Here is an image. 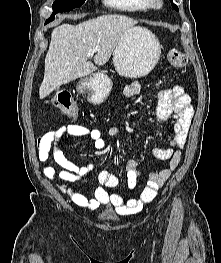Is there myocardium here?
I'll list each match as a JSON object with an SVG mask.
<instances>
[{
    "label": "myocardium",
    "mask_w": 221,
    "mask_h": 263,
    "mask_svg": "<svg viewBox=\"0 0 221 263\" xmlns=\"http://www.w3.org/2000/svg\"><path fill=\"white\" fill-rule=\"evenodd\" d=\"M147 3L148 6L154 10H160L164 5L163 0H147Z\"/></svg>",
    "instance_id": "obj_1"
}]
</instances>
